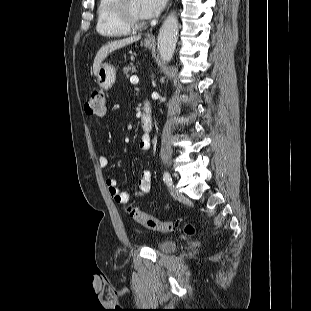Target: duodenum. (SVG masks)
Instances as JSON below:
<instances>
[{
    "label": "duodenum",
    "mask_w": 311,
    "mask_h": 311,
    "mask_svg": "<svg viewBox=\"0 0 311 311\" xmlns=\"http://www.w3.org/2000/svg\"><path fill=\"white\" fill-rule=\"evenodd\" d=\"M141 126L144 131V134H149L153 127V121L150 114V107L148 103L144 105V113L141 116Z\"/></svg>",
    "instance_id": "410a0bca"
}]
</instances>
